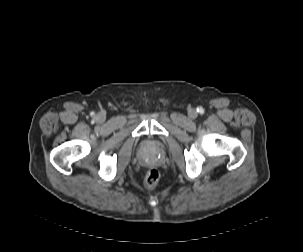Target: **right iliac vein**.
<instances>
[{
  "label": "right iliac vein",
  "instance_id": "obj_1",
  "mask_svg": "<svg viewBox=\"0 0 303 252\" xmlns=\"http://www.w3.org/2000/svg\"><path fill=\"white\" fill-rule=\"evenodd\" d=\"M97 120L99 122H104L105 121V117L103 115H97Z\"/></svg>",
  "mask_w": 303,
  "mask_h": 252
}]
</instances>
